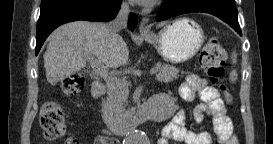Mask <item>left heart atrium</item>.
<instances>
[{"label": "left heart atrium", "instance_id": "39dd6f15", "mask_svg": "<svg viewBox=\"0 0 273 144\" xmlns=\"http://www.w3.org/2000/svg\"><path fill=\"white\" fill-rule=\"evenodd\" d=\"M142 5H153L155 3V0H137Z\"/></svg>", "mask_w": 273, "mask_h": 144}]
</instances>
